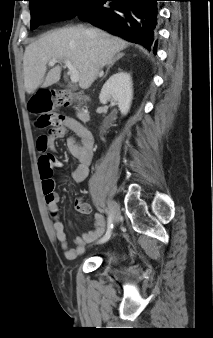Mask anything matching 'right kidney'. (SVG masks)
<instances>
[{
	"label": "right kidney",
	"mask_w": 213,
	"mask_h": 338,
	"mask_svg": "<svg viewBox=\"0 0 213 338\" xmlns=\"http://www.w3.org/2000/svg\"><path fill=\"white\" fill-rule=\"evenodd\" d=\"M99 99L103 104L108 101L116 103L121 113L126 115L133 99L132 79L130 74L122 71L113 74L103 85Z\"/></svg>",
	"instance_id": "ca27d5eb"
}]
</instances>
